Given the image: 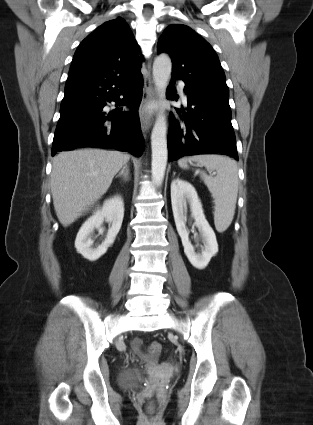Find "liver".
<instances>
[{"label":"liver","instance_id":"1","mask_svg":"<svg viewBox=\"0 0 313 425\" xmlns=\"http://www.w3.org/2000/svg\"><path fill=\"white\" fill-rule=\"evenodd\" d=\"M130 159L119 151L82 149L53 159L51 192L60 223L67 227L87 212Z\"/></svg>","mask_w":313,"mask_h":425}]
</instances>
